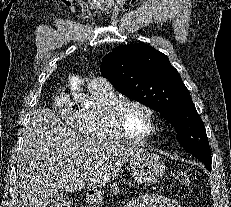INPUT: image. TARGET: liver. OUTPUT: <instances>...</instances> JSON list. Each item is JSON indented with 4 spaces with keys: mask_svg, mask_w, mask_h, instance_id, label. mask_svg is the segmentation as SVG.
Returning a JSON list of instances; mask_svg holds the SVG:
<instances>
[{
    "mask_svg": "<svg viewBox=\"0 0 231 207\" xmlns=\"http://www.w3.org/2000/svg\"><path fill=\"white\" fill-rule=\"evenodd\" d=\"M138 150L130 144L82 139L54 111L36 109L17 163L19 207H47L59 190L74 193L104 186Z\"/></svg>",
    "mask_w": 231,
    "mask_h": 207,
    "instance_id": "6515ba94",
    "label": "liver"
}]
</instances>
